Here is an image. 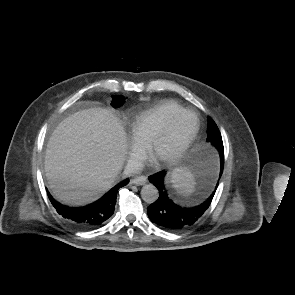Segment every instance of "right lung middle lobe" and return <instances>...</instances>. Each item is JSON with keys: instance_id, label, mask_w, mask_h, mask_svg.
Returning <instances> with one entry per match:
<instances>
[{"instance_id": "obj_1", "label": "right lung middle lobe", "mask_w": 295, "mask_h": 295, "mask_svg": "<svg viewBox=\"0 0 295 295\" xmlns=\"http://www.w3.org/2000/svg\"><path fill=\"white\" fill-rule=\"evenodd\" d=\"M112 98L113 100L111 102V105L115 108L121 106L125 101V98L123 96H113Z\"/></svg>"}]
</instances>
